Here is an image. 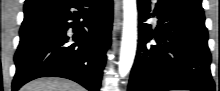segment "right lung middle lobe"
Wrapping results in <instances>:
<instances>
[{"mask_svg": "<svg viewBox=\"0 0 220 91\" xmlns=\"http://www.w3.org/2000/svg\"><path fill=\"white\" fill-rule=\"evenodd\" d=\"M38 1L37 0H26L25 2V7L29 6V7H35L37 6ZM46 4V3H45ZM42 5V4H41ZM39 6V5H38Z\"/></svg>", "mask_w": 220, "mask_h": 91, "instance_id": "right-lung-middle-lobe-1", "label": "right lung middle lobe"}]
</instances>
